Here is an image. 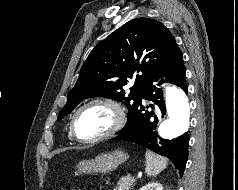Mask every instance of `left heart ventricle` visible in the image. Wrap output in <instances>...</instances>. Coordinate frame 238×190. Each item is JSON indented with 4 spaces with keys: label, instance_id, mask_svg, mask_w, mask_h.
Segmentation results:
<instances>
[{
    "label": "left heart ventricle",
    "instance_id": "left-heart-ventricle-1",
    "mask_svg": "<svg viewBox=\"0 0 238 190\" xmlns=\"http://www.w3.org/2000/svg\"><path fill=\"white\" fill-rule=\"evenodd\" d=\"M113 123L112 112L103 106H92L80 113L76 130L81 137H93L106 131Z\"/></svg>",
    "mask_w": 238,
    "mask_h": 190
}]
</instances>
